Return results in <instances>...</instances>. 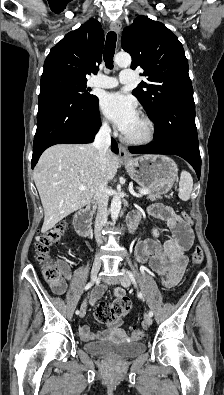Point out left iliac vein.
Listing matches in <instances>:
<instances>
[{"instance_id": "1", "label": "left iliac vein", "mask_w": 224, "mask_h": 395, "mask_svg": "<svg viewBox=\"0 0 224 395\" xmlns=\"http://www.w3.org/2000/svg\"><path fill=\"white\" fill-rule=\"evenodd\" d=\"M120 283L123 287H129L131 285V280L127 275H123L120 279ZM144 324L150 326L152 324V318L149 314L144 315Z\"/></svg>"}]
</instances>
